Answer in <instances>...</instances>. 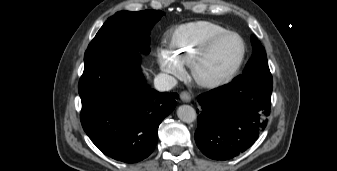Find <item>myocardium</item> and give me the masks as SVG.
<instances>
[{"label":"myocardium","mask_w":337,"mask_h":171,"mask_svg":"<svg viewBox=\"0 0 337 171\" xmlns=\"http://www.w3.org/2000/svg\"><path fill=\"white\" fill-rule=\"evenodd\" d=\"M234 36L238 38L241 45V52L236 63L231 67V69L219 78H206L201 75L200 67L207 55L211 52V50L222 40L225 38ZM246 56V45L243 38L236 32L233 31H225L219 35H216L209 39L203 46L198 50L194 58L190 63V72L193 80L201 87L216 89L222 86L227 85L232 81V79L236 76L239 69L241 68Z\"/></svg>","instance_id":"myocardium-1"}]
</instances>
